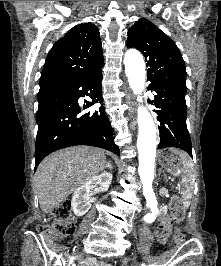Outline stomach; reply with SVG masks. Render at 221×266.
I'll use <instances>...</instances> for the list:
<instances>
[{
  "mask_svg": "<svg viewBox=\"0 0 221 266\" xmlns=\"http://www.w3.org/2000/svg\"><path fill=\"white\" fill-rule=\"evenodd\" d=\"M158 161L162 168L174 176H180L187 170L182 158L174 149L161 150L158 153Z\"/></svg>",
  "mask_w": 221,
  "mask_h": 266,
  "instance_id": "1",
  "label": "stomach"
}]
</instances>
